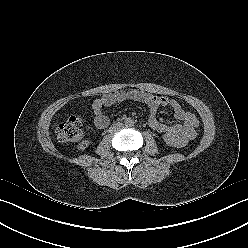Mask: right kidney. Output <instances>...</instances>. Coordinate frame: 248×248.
Masks as SVG:
<instances>
[{"instance_id":"1","label":"right kidney","mask_w":248,"mask_h":248,"mask_svg":"<svg viewBox=\"0 0 248 248\" xmlns=\"http://www.w3.org/2000/svg\"><path fill=\"white\" fill-rule=\"evenodd\" d=\"M90 143H91V142H90L89 140H83V141L79 144L78 149H79V150H85V149L89 146Z\"/></svg>"}]
</instances>
